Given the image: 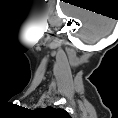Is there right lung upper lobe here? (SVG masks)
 Segmentation results:
<instances>
[{"label":"right lung upper lobe","mask_w":118,"mask_h":118,"mask_svg":"<svg viewBox=\"0 0 118 118\" xmlns=\"http://www.w3.org/2000/svg\"><path fill=\"white\" fill-rule=\"evenodd\" d=\"M47 111L50 113H65V111L62 109H54L52 107L47 108Z\"/></svg>","instance_id":"cb5924a9"}]
</instances>
